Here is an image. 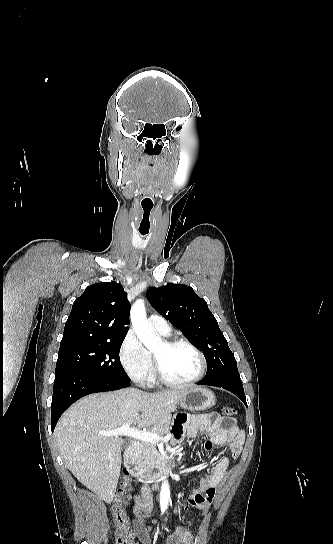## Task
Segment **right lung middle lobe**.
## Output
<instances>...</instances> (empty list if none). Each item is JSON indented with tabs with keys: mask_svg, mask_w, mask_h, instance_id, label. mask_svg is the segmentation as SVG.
I'll use <instances>...</instances> for the list:
<instances>
[{
	"mask_svg": "<svg viewBox=\"0 0 333 544\" xmlns=\"http://www.w3.org/2000/svg\"><path fill=\"white\" fill-rule=\"evenodd\" d=\"M123 340L124 337L60 348L55 372L71 370L96 379L130 381L119 358Z\"/></svg>",
	"mask_w": 333,
	"mask_h": 544,
	"instance_id": "dd1d6c3e",
	"label": "right lung middle lobe"
}]
</instances>
